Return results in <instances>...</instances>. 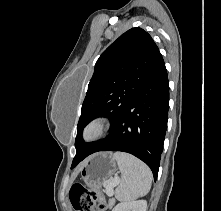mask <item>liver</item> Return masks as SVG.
I'll use <instances>...</instances> for the list:
<instances>
[{"label": "liver", "instance_id": "6515ba94", "mask_svg": "<svg viewBox=\"0 0 221 211\" xmlns=\"http://www.w3.org/2000/svg\"><path fill=\"white\" fill-rule=\"evenodd\" d=\"M84 164V163H83ZM83 164L76 170V172H75V174H74V176H76L78 173H79V171L81 170V168H82V166H83Z\"/></svg>", "mask_w": 221, "mask_h": 211}]
</instances>
